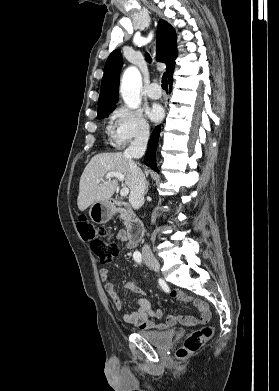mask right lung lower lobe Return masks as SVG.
<instances>
[{
  "instance_id": "1",
  "label": "right lung lower lobe",
  "mask_w": 279,
  "mask_h": 391,
  "mask_svg": "<svg viewBox=\"0 0 279 391\" xmlns=\"http://www.w3.org/2000/svg\"><path fill=\"white\" fill-rule=\"evenodd\" d=\"M172 83H173V80H171L169 82L170 90L172 87ZM160 130H161L160 126H157L154 129V131L151 135L150 141H149V147H148V150L145 154V160H144V163L147 166L151 167L155 171H158L157 166H156V161H155V152H156V148H157V144H158Z\"/></svg>"
}]
</instances>
